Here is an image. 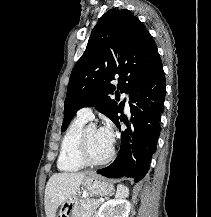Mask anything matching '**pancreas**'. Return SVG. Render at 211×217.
<instances>
[{
    "label": "pancreas",
    "mask_w": 211,
    "mask_h": 217,
    "mask_svg": "<svg viewBox=\"0 0 211 217\" xmlns=\"http://www.w3.org/2000/svg\"><path fill=\"white\" fill-rule=\"evenodd\" d=\"M101 202L95 199H91L88 197L82 198L80 200V209L79 214L80 217H92V215L96 212V209L99 207Z\"/></svg>",
    "instance_id": "cf45deb5"
}]
</instances>
